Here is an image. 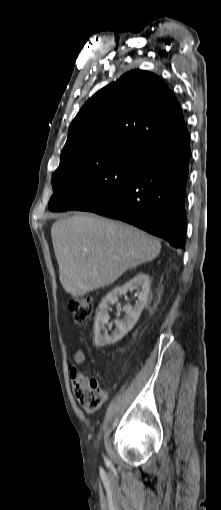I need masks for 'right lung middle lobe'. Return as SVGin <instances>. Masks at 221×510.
<instances>
[{
    "label": "right lung middle lobe",
    "instance_id": "1",
    "mask_svg": "<svg viewBox=\"0 0 221 510\" xmlns=\"http://www.w3.org/2000/svg\"><path fill=\"white\" fill-rule=\"evenodd\" d=\"M147 149L124 147L77 155L63 162L52 177L51 211L80 210L106 201L135 176Z\"/></svg>",
    "mask_w": 221,
    "mask_h": 510
}]
</instances>
